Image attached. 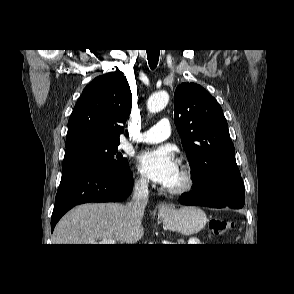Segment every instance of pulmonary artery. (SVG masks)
<instances>
[{
	"mask_svg": "<svg viewBox=\"0 0 294 294\" xmlns=\"http://www.w3.org/2000/svg\"><path fill=\"white\" fill-rule=\"evenodd\" d=\"M171 127L168 119H162L149 130L139 134L136 138L138 142L158 143L169 138Z\"/></svg>",
	"mask_w": 294,
	"mask_h": 294,
	"instance_id": "e3ab8cb5",
	"label": "pulmonary artery"
}]
</instances>
